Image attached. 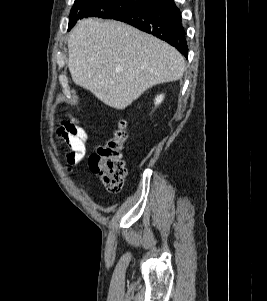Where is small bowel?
<instances>
[{
  "instance_id": "1",
  "label": "small bowel",
  "mask_w": 267,
  "mask_h": 301,
  "mask_svg": "<svg viewBox=\"0 0 267 301\" xmlns=\"http://www.w3.org/2000/svg\"><path fill=\"white\" fill-rule=\"evenodd\" d=\"M57 134L69 147L70 151L66 157L68 165L73 166L80 162L85 155L88 140L86 130L73 119L65 122L63 126L57 130Z\"/></svg>"
}]
</instances>
